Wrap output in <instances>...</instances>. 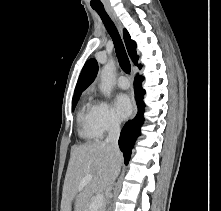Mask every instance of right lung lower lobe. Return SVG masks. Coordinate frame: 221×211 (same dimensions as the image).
Here are the masks:
<instances>
[{"instance_id":"98d812e1","label":"right lung lower lobe","mask_w":221,"mask_h":211,"mask_svg":"<svg viewBox=\"0 0 221 211\" xmlns=\"http://www.w3.org/2000/svg\"><path fill=\"white\" fill-rule=\"evenodd\" d=\"M142 81L143 77L138 75L136 76L134 81L136 94L135 98L138 105V113L133 120L124 125L118 141L119 147L124 154L125 164L129 162L131 150L137 137L140 135V127L144 121L143 113L145 104L143 102V95L145 94V91L141 87Z\"/></svg>"}]
</instances>
